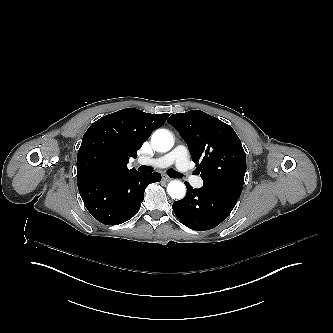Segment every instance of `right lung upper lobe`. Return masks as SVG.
<instances>
[{"label":"right lung upper lobe","mask_w":333,"mask_h":333,"mask_svg":"<svg viewBox=\"0 0 333 333\" xmlns=\"http://www.w3.org/2000/svg\"><path fill=\"white\" fill-rule=\"evenodd\" d=\"M169 114L123 109L94 122L83 136L77 155V175L125 173L130 157L163 125Z\"/></svg>","instance_id":"1"}]
</instances>
